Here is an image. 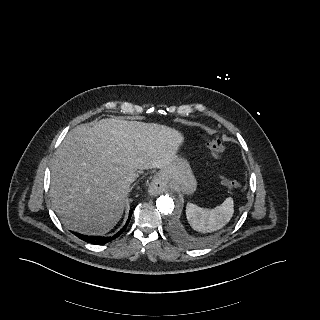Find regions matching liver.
I'll return each instance as SVG.
<instances>
[{
	"instance_id": "obj_1",
	"label": "liver",
	"mask_w": 320,
	"mask_h": 320,
	"mask_svg": "<svg viewBox=\"0 0 320 320\" xmlns=\"http://www.w3.org/2000/svg\"><path fill=\"white\" fill-rule=\"evenodd\" d=\"M183 140L157 123L105 118L76 126L51 166L50 196L61 222L85 235L109 232L125 208L128 174L167 167Z\"/></svg>"
}]
</instances>
